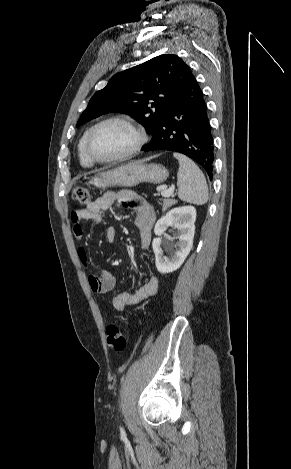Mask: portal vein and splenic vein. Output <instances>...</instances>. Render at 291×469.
Segmentation results:
<instances>
[{
    "label": "portal vein and splenic vein",
    "mask_w": 291,
    "mask_h": 469,
    "mask_svg": "<svg viewBox=\"0 0 291 469\" xmlns=\"http://www.w3.org/2000/svg\"><path fill=\"white\" fill-rule=\"evenodd\" d=\"M173 193H174V186H171L169 189L164 188L161 191V194L163 197H170L171 195H173Z\"/></svg>",
    "instance_id": "portal-vein-and-splenic-vein-1"
}]
</instances>
